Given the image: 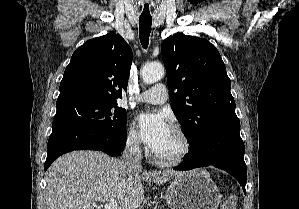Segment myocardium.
<instances>
[{
	"mask_svg": "<svg viewBox=\"0 0 299 209\" xmlns=\"http://www.w3.org/2000/svg\"><path fill=\"white\" fill-rule=\"evenodd\" d=\"M171 129L178 135L182 142V148L180 151L169 157H163L156 154L154 151L151 152L153 160L162 166H173L182 163L190 155L192 151V141L188 133L179 125L173 124Z\"/></svg>",
	"mask_w": 299,
	"mask_h": 209,
	"instance_id": "obj_1",
	"label": "myocardium"
}]
</instances>
